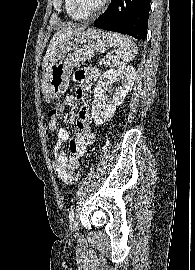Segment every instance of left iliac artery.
<instances>
[{"label": "left iliac artery", "instance_id": "obj_1", "mask_svg": "<svg viewBox=\"0 0 195 270\" xmlns=\"http://www.w3.org/2000/svg\"><path fill=\"white\" fill-rule=\"evenodd\" d=\"M69 221H70V227H71V223L74 221V209H72L69 214Z\"/></svg>", "mask_w": 195, "mask_h": 270}]
</instances>
